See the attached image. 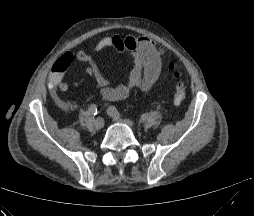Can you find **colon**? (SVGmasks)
<instances>
[{
  "label": "colon",
  "instance_id": "colon-1",
  "mask_svg": "<svg viewBox=\"0 0 254 216\" xmlns=\"http://www.w3.org/2000/svg\"><path fill=\"white\" fill-rule=\"evenodd\" d=\"M54 67H60L62 70H64L67 68V65L65 63L59 62L58 60L57 63L54 65ZM167 68L171 72L172 77L175 80V86L173 90L174 103L181 104L186 97V87L184 82L181 79L182 75L180 71L176 69V66L173 63H169Z\"/></svg>",
  "mask_w": 254,
  "mask_h": 216
}]
</instances>
